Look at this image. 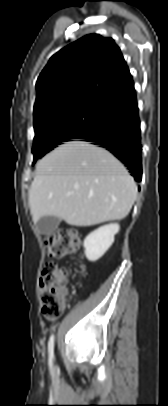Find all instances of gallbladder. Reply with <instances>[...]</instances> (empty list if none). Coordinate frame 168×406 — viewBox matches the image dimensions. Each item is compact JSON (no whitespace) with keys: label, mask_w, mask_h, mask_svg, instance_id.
I'll list each match as a JSON object with an SVG mask.
<instances>
[{"label":"gallbladder","mask_w":168,"mask_h":406,"mask_svg":"<svg viewBox=\"0 0 168 406\" xmlns=\"http://www.w3.org/2000/svg\"><path fill=\"white\" fill-rule=\"evenodd\" d=\"M61 220L55 216H43L37 222V228L42 234H50L56 230Z\"/></svg>","instance_id":"bac80fb5"}]
</instances>
